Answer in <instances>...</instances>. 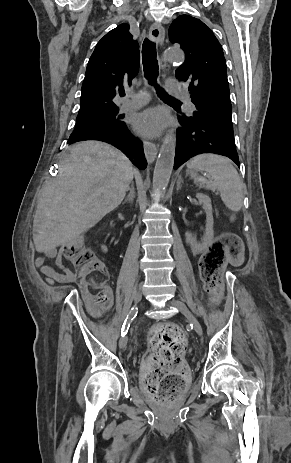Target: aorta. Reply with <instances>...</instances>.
<instances>
[{
	"label": "aorta",
	"instance_id": "obj_1",
	"mask_svg": "<svg viewBox=\"0 0 291 463\" xmlns=\"http://www.w3.org/2000/svg\"><path fill=\"white\" fill-rule=\"evenodd\" d=\"M165 59L169 62L182 63L185 56L182 51L168 48L165 51ZM176 138L170 130L165 135L160 152L156 161L153 174V189L157 192H163L169 184L172 174L175 158Z\"/></svg>",
	"mask_w": 291,
	"mask_h": 463
}]
</instances>
